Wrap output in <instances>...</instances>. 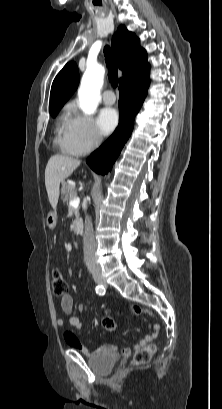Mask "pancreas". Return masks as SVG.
<instances>
[{
    "mask_svg": "<svg viewBox=\"0 0 222 409\" xmlns=\"http://www.w3.org/2000/svg\"><path fill=\"white\" fill-rule=\"evenodd\" d=\"M62 200L68 204V201L74 199L77 195L76 187L70 183L62 182ZM76 216H79V209L75 211Z\"/></svg>",
    "mask_w": 222,
    "mask_h": 409,
    "instance_id": "1",
    "label": "pancreas"
}]
</instances>
